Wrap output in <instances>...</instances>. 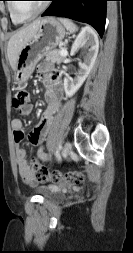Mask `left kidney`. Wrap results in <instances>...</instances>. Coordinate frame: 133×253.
Instances as JSON below:
<instances>
[{"mask_svg": "<svg viewBox=\"0 0 133 253\" xmlns=\"http://www.w3.org/2000/svg\"><path fill=\"white\" fill-rule=\"evenodd\" d=\"M79 49H86L84 61L79 65L76 77L74 79H64V90L68 97L73 96L77 90L82 86L90 71L92 70L97 58L99 49L98 36L93 29L85 27L76 37L72 48L71 54L74 55Z\"/></svg>", "mask_w": 133, "mask_h": 253, "instance_id": "left-kidney-1", "label": "left kidney"}]
</instances>
